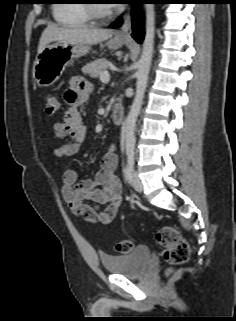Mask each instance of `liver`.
Returning <instances> with one entry per match:
<instances>
[{"label":"liver","mask_w":236,"mask_h":321,"mask_svg":"<svg viewBox=\"0 0 236 321\" xmlns=\"http://www.w3.org/2000/svg\"><path fill=\"white\" fill-rule=\"evenodd\" d=\"M112 35L113 31L109 29L58 27L57 25L50 24L41 35L38 53H40L46 46H48V44L52 42L96 45L111 38Z\"/></svg>","instance_id":"6515ba94"}]
</instances>
